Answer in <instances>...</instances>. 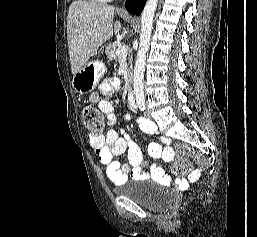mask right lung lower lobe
Returning <instances> with one entry per match:
<instances>
[{
  "label": "right lung lower lobe",
  "mask_w": 257,
  "mask_h": 237,
  "mask_svg": "<svg viewBox=\"0 0 257 237\" xmlns=\"http://www.w3.org/2000/svg\"><path fill=\"white\" fill-rule=\"evenodd\" d=\"M146 0H127L126 9L131 14L139 16L144 8Z\"/></svg>",
  "instance_id": "1"
}]
</instances>
